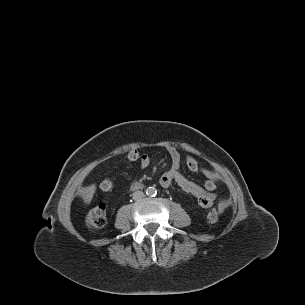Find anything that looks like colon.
<instances>
[{"instance_id": "5ec220e1", "label": "colon", "mask_w": 305, "mask_h": 305, "mask_svg": "<svg viewBox=\"0 0 305 305\" xmlns=\"http://www.w3.org/2000/svg\"><path fill=\"white\" fill-rule=\"evenodd\" d=\"M129 162H140L142 158L141 151L138 147H131L125 154ZM113 181L110 178H105L100 182V189L110 191L113 188ZM209 222H217L220 218L218 210L211 209L207 215ZM107 221V207L105 204H99L91 209L87 215L86 223L90 229H98L103 227Z\"/></svg>"}]
</instances>
